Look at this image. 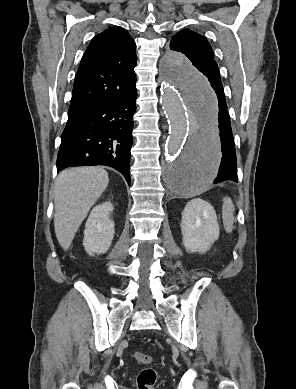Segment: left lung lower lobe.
Returning a JSON list of instances; mask_svg holds the SVG:
<instances>
[{
  "mask_svg": "<svg viewBox=\"0 0 296 389\" xmlns=\"http://www.w3.org/2000/svg\"><path fill=\"white\" fill-rule=\"evenodd\" d=\"M207 79L209 80V84L213 88V92L216 96L218 114L217 131L219 135V141H221V163L219 165L217 177L215 178L213 183L216 184L225 180L237 182L238 177L233 133L219 71L208 76ZM211 138L212 130L206 129L202 137L203 142L207 143L211 140ZM199 148V141L195 137L192 140L188 153L178 166V172L184 173L183 178L178 176L181 181H184L193 174V165L199 155Z\"/></svg>",
  "mask_w": 296,
  "mask_h": 389,
  "instance_id": "left-lung-lower-lobe-1",
  "label": "left lung lower lobe"
}]
</instances>
